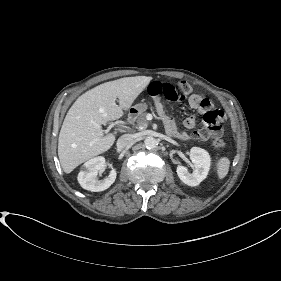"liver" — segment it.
I'll return each mask as SVG.
<instances>
[{
  "instance_id": "obj_1",
  "label": "liver",
  "mask_w": 281,
  "mask_h": 281,
  "mask_svg": "<svg viewBox=\"0 0 281 281\" xmlns=\"http://www.w3.org/2000/svg\"><path fill=\"white\" fill-rule=\"evenodd\" d=\"M151 80L147 76L124 77L100 84L77 98L66 114L58 138V156L65 173L111 148L115 135H104L101 125L122 117ZM95 139L98 140L93 142Z\"/></svg>"
}]
</instances>
